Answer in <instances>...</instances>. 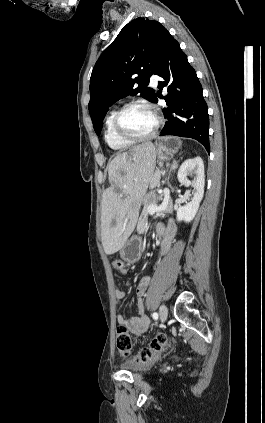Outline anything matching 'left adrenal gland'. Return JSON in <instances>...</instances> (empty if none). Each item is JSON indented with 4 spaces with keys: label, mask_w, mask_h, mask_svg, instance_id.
Returning a JSON list of instances; mask_svg holds the SVG:
<instances>
[{
    "label": "left adrenal gland",
    "mask_w": 265,
    "mask_h": 423,
    "mask_svg": "<svg viewBox=\"0 0 265 423\" xmlns=\"http://www.w3.org/2000/svg\"><path fill=\"white\" fill-rule=\"evenodd\" d=\"M176 168H177V162L174 160V161L172 162V165H171L170 171H172V170H174V169H176Z\"/></svg>",
    "instance_id": "1"
}]
</instances>
